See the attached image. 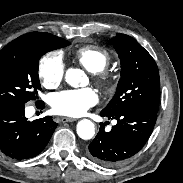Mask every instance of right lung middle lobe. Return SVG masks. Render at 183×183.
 Masks as SVG:
<instances>
[{
  "label": "right lung middle lobe",
  "instance_id": "dd1d6c3e",
  "mask_svg": "<svg viewBox=\"0 0 183 183\" xmlns=\"http://www.w3.org/2000/svg\"><path fill=\"white\" fill-rule=\"evenodd\" d=\"M68 45L66 40L54 46L31 41L3 48L0 51V104L37 100L41 90L39 59L48 51Z\"/></svg>",
  "mask_w": 183,
  "mask_h": 183
}]
</instances>
